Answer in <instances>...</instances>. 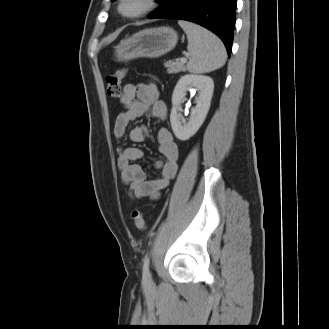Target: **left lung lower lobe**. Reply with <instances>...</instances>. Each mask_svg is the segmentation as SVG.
Instances as JSON below:
<instances>
[{"label":"left lung lower lobe","mask_w":329,"mask_h":329,"mask_svg":"<svg viewBox=\"0 0 329 329\" xmlns=\"http://www.w3.org/2000/svg\"><path fill=\"white\" fill-rule=\"evenodd\" d=\"M150 19H180L199 24L216 34L230 56L235 27L236 0H161Z\"/></svg>","instance_id":"obj_1"}]
</instances>
